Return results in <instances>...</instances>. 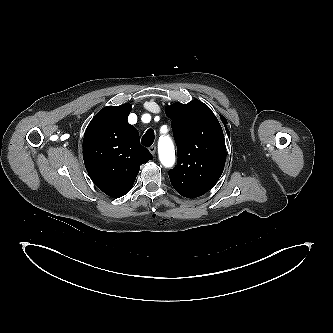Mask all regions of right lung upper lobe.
<instances>
[{"label":"right lung upper lobe","instance_id":"cb5924a9","mask_svg":"<svg viewBox=\"0 0 333 333\" xmlns=\"http://www.w3.org/2000/svg\"><path fill=\"white\" fill-rule=\"evenodd\" d=\"M130 112L129 103L103 108L89 123L83 139V159L90 178L113 198L128 193L140 165L153 159L127 121Z\"/></svg>","mask_w":333,"mask_h":333}]
</instances>
